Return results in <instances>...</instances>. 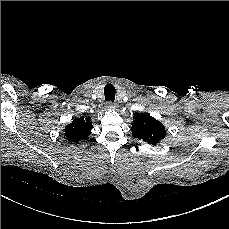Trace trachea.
I'll return each mask as SVG.
<instances>
[{
	"mask_svg": "<svg viewBox=\"0 0 229 229\" xmlns=\"http://www.w3.org/2000/svg\"><path fill=\"white\" fill-rule=\"evenodd\" d=\"M116 89L113 84H106L104 87V96L106 101L114 102L115 100Z\"/></svg>",
	"mask_w": 229,
	"mask_h": 229,
	"instance_id": "1",
	"label": "trachea"
}]
</instances>
